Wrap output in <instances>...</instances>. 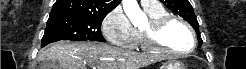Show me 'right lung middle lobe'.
<instances>
[{
	"mask_svg": "<svg viewBox=\"0 0 246 69\" xmlns=\"http://www.w3.org/2000/svg\"><path fill=\"white\" fill-rule=\"evenodd\" d=\"M105 16H63L49 18L42 38V44L59 40H90L105 42L101 23Z\"/></svg>",
	"mask_w": 246,
	"mask_h": 69,
	"instance_id": "1",
	"label": "right lung middle lobe"
}]
</instances>
